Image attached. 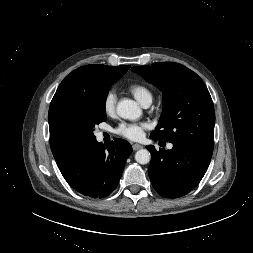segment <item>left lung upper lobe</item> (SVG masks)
<instances>
[{"label": "left lung upper lobe", "mask_w": 253, "mask_h": 253, "mask_svg": "<svg viewBox=\"0 0 253 253\" xmlns=\"http://www.w3.org/2000/svg\"><path fill=\"white\" fill-rule=\"evenodd\" d=\"M163 92V112L151 138L192 144L213 151L215 112L203 80L172 62L132 67Z\"/></svg>", "instance_id": "1"}]
</instances>
